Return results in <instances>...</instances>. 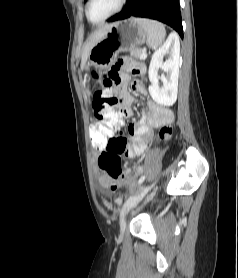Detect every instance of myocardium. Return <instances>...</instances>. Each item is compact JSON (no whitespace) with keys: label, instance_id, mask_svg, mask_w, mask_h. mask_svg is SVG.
<instances>
[{"label":"myocardium","instance_id":"f54148a6","mask_svg":"<svg viewBox=\"0 0 238 278\" xmlns=\"http://www.w3.org/2000/svg\"><path fill=\"white\" fill-rule=\"evenodd\" d=\"M92 0H87L86 2V6H85V14H86V18L88 19L89 22H91L92 24H101L105 21H107L108 19L112 18L113 16H115L116 14H118L124 7V5L126 4L127 0H120L118 6L115 8L114 11H112L109 15H107L105 18H103L100 21H94L90 18L89 15V7L91 4Z\"/></svg>","mask_w":238,"mask_h":278}]
</instances>
